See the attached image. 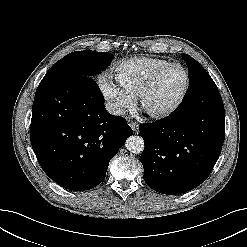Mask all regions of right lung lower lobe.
Listing matches in <instances>:
<instances>
[{"label":"right lung lower lobe","mask_w":247,"mask_h":247,"mask_svg":"<svg viewBox=\"0 0 247 247\" xmlns=\"http://www.w3.org/2000/svg\"><path fill=\"white\" fill-rule=\"evenodd\" d=\"M132 134L124 118L107 112L91 77L64 74L40 82L31 144L43 171L60 186L82 191L100 184L111 158Z\"/></svg>","instance_id":"98d812e1"}]
</instances>
